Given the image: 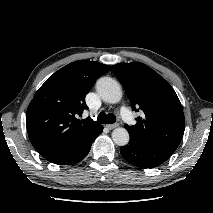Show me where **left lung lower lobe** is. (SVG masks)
I'll use <instances>...</instances> for the list:
<instances>
[{
    "label": "left lung lower lobe",
    "instance_id": "1",
    "mask_svg": "<svg viewBox=\"0 0 213 213\" xmlns=\"http://www.w3.org/2000/svg\"><path fill=\"white\" fill-rule=\"evenodd\" d=\"M121 154L130 164L141 168H154L164 163L173 152L156 148L130 134L128 145L120 148Z\"/></svg>",
    "mask_w": 213,
    "mask_h": 213
}]
</instances>
